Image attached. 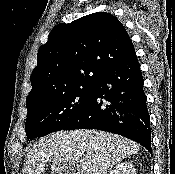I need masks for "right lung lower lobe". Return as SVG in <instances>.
<instances>
[{
    "mask_svg": "<svg viewBox=\"0 0 175 174\" xmlns=\"http://www.w3.org/2000/svg\"><path fill=\"white\" fill-rule=\"evenodd\" d=\"M97 129L151 148V128L136 54L107 70L93 86L86 109L62 130Z\"/></svg>",
    "mask_w": 175,
    "mask_h": 174,
    "instance_id": "right-lung-lower-lobe-1",
    "label": "right lung lower lobe"
}]
</instances>
